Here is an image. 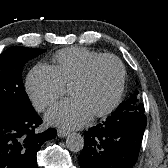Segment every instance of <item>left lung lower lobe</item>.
<instances>
[{
	"label": "left lung lower lobe",
	"mask_w": 168,
	"mask_h": 168,
	"mask_svg": "<svg viewBox=\"0 0 168 168\" xmlns=\"http://www.w3.org/2000/svg\"><path fill=\"white\" fill-rule=\"evenodd\" d=\"M144 105L119 106L105 122L84 133L81 168H133L146 128Z\"/></svg>",
	"instance_id": "1"
}]
</instances>
